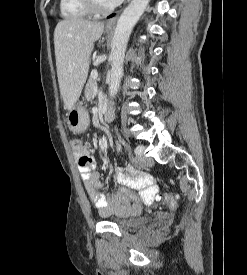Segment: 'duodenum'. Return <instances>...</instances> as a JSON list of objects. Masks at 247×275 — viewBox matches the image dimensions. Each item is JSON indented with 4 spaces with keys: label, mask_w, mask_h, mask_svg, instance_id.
I'll return each instance as SVG.
<instances>
[{
    "label": "duodenum",
    "mask_w": 247,
    "mask_h": 275,
    "mask_svg": "<svg viewBox=\"0 0 247 275\" xmlns=\"http://www.w3.org/2000/svg\"><path fill=\"white\" fill-rule=\"evenodd\" d=\"M102 120L105 123H109L113 120V107L110 105H107L105 107V110L102 111Z\"/></svg>",
    "instance_id": "410a0bca"
}]
</instances>
